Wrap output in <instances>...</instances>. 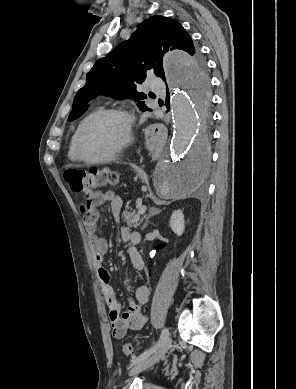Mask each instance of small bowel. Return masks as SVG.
<instances>
[{"instance_id":"obj_1","label":"small bowel","mask_w":296,"mask_h":389,"mask_svg":"<svg viewBox=\"0 0 296 389\" xmlns=\"http://www.w3.org/2000/svg\"><path fill=\"white\" fill-rule=\"evenodd\" d=\"M110 202V208L113 216L118 218L123 208L122 198L115 196L112 191L92 192L88 194L82 205L83 225L87 232L94 263L97 269L102 293L109 310V321L113 337L121 339L129 330H139L147 321V317L141 314V305H145L150 298V290L147 286H138L135 291V300L130 299L129 304L123 312L120 310L114 290L110 284L109 272L103 266V257L108 250L107 242L97 234V221L99 218V207ZM124 240L137 243L139 237L136 233L122 229ZM129 256L133 267L137 271H142L144 262L138 251L132 247L129 249Z\"/></svg>"}]
</instances>
